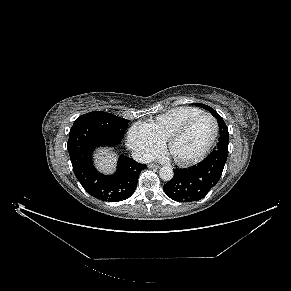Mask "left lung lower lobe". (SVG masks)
Returning <instances> with one entry per match:
<instances>
[{"instance_id":"obj_1","label":"left lung lower lobe","mask_w":291,"mask_h":291,"mask_svg":"<svg viewBox=\"0 0 291 291\" xmlns=\"http://www.w3.org/2000/svg\"><path fill=\"white\" fill-rule=\"evenodd\" d=\"M228 155V140L219 138L215 150L197 166L174 169L173 178L163 189L178 202H192L204 198L219 181Z\"/></svg>"}]
</instances>
